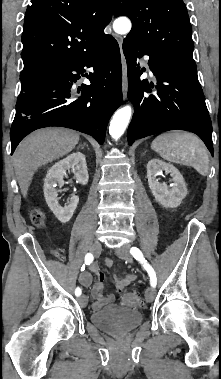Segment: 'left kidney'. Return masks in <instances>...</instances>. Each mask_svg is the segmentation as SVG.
I'll return each mask as SVG.
<instances>
[{"mask_svg": "<svg viewBox=\"0 0 221 379\" xmlns=\"http://www.w3.org/2000/svg\"><path fill=\"white\" fill-rule=\"evenodd\" d=\"M163 171L170 173L172 185L160 183L157 179V175ZM147 178L153 196L165 208L178 207L187 195V187L181 173L173 165L162 160L152 159L148 162Z\"/></svg>", "mask_w": 221, "mask_h": 379, "instance_id": "5707ae66", "label": "left kidney"}]
</instances>
